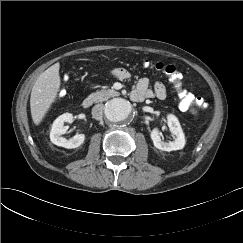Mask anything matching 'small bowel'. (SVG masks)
Segmentation results:
<instances>
[{
  "label": "small bowel",
  "instance_id": "obj_1",
  "mask_svg": "<svg viewBox=\"0 0 243 243\" xmlns=\"http://www.w3.org/2000/svg\"><path fill=\"white\" fill-rule=\"evenodd\" d=\"M110 74L118 79L127 80L130 78V73L125 68H115L110 71ZM132 95L135 97H141L143 99L148 98H158L164 99L166 98L167 92L165 86L160 83L156 82L154 84L153 89L149 87V81L147 78H141L136 85L135 90L132 92ZM141 101V100H140Z\"/></svg>",
  "mask_w": 243,
  "mask_h": 243
}]
</instances>
